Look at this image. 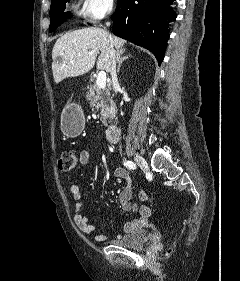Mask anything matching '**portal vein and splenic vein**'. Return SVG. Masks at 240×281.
<instances>
[{"mask_svg":"<svg viewBox=\"0 0 240 281\" xmlns=\"http://www.w3.org/2000/svg\"><path fill=\"white\" fill-rule=\"evenodd\" d=\"M90 55L92 53H89ZM96 84L99 89L104 90L106 87V73L104 71H100L97 76Z\"/></svg>","mask_w":240,"mask_h":281,"instance_id":"1","label":"portal vein and splenic vein"}]
</instances>
